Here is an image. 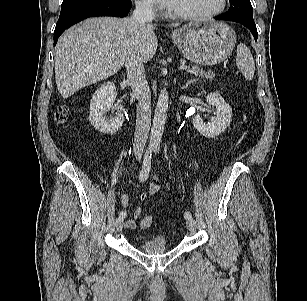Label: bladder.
<instances>
[{
  "instance_id": "obj_1",
  "label": "bladder",
  "mask_w": 307,
  "mask_h": 301,
  "mask_svg": "<svg viewBox=\"0 0 307 301\" xmlns=\"http://www.w3.org/2000/svg\"><path fill=\"white\" fill-rule=\"evenodd\" d=\"M139 250L145 254L155 255L168 250V243L164 235H158L143 241L139 245Z\"/></svg>"
}]
</instances>
